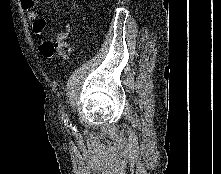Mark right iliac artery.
<instances>
[{
	"instance_id": "82829eb1",
	"label": "right iliac artery",
	"mask_w": 221,
	"mask_h": 174,
	"mask_svg": "<svg viewBox=\"0 0 221 174\" xmlns=\"http://www.w3.org/2000/svg\"><path fill=\"white\" fill-rule=\"evenodd\" d=\"M62 118H63L64 124L68 126L69 125V119H68L67 115L63 114Z\"/></svg>"
}]
</instances>
